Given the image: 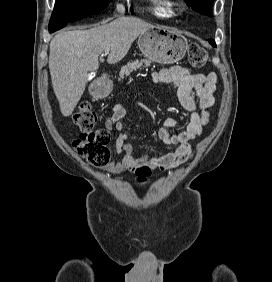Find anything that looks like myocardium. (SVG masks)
Returning <instances> with one entry per match:
<instances>
[{
	"mask_svg": "<svg viewBox=\"0 0 272 282\" xmlns=\"http://www.w3.org/2000/svg\"><path fill=\"white\" fill-rule=\"evenodd\" d=\"M174 7L176 8V9H182V4L180 3V2H175L174 3Z\"/></svg>",
	"mask_w": 272,
	"mask_h": 282,
	"instance_id": "f54148a6",
	"label": "myocardium"
}]
</instances>
